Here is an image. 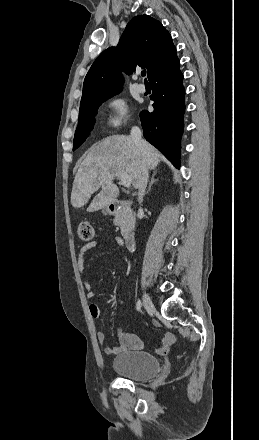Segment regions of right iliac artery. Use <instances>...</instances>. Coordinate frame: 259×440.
I'll use <instances>...</instances> for the list:
<instances>
[{
  "instance_id": "1",
  "label": "right iliac artery",
  "mask_w": 259,
  "mask_h": 440,
  "mask_svg": "<svg viewBox=\"0 0 259 440\" xmlns=\"http://www.w3.org/2000/svg\"><path fill=\"white\" fill-rule=\"evenodd\" d=\"M141 306H142L141 300H138L137 303H136L137 311H139L141 309Z\"/></svg>"
}]
</instances>
